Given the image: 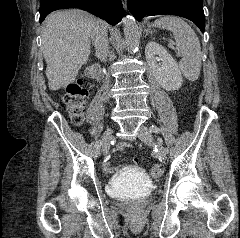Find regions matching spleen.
I'll return each mask as SVG.
<instances>
[{"label":"spleen","instance_id":"obj_1","mask_svg":"<svg viewBox=\"0 0 240 238\" xmlns=\"http://www.w3.org/2000/svg\"><path fill=\"white\" fill-rule=\"evenodd\" d=\"M154 26L173 33L176 47L183 55L180 70L189 81L197 80L201 69V46L194 30L181 18L171 16L157 19Z\"/></svg>","mask_w":240,"mask_h":238}]
</instances>
